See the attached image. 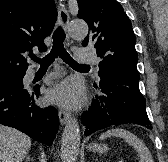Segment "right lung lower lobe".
Returning a JSON list of instances; mask_svg holds the SVG:
<instances>
[{
  "label": "right lung lower lobe",
  "mask_w": 168,
  "mask_h": 162,
  "mask_svg": "<svg viewBox=\"0 0 168 162\" xmlns=\"http://www.w3.org/2000/svg\"><path fill=\"white\" fill-rule=\"evenodd\" d=\"M23 77L0 85V124L50 146L59 127L57 110L37 106L34 100L40 97L39 86L24 89Z\"/></svg>",
  "instance_id": "1"
}]
</instances>
